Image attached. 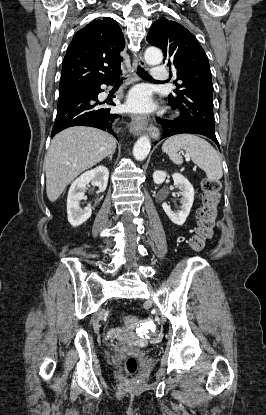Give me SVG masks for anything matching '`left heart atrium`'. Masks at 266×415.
Here are the masks:
<instances>
[{
	"mask_svg": "<svg viewBox=\"0 0 266 415\" xmlns=\"http://www.w3.org/2000/svg\"><path fill=\"white\" fill-rule=\"evenodd\" d=\"M128 107L136 112H149L154 108L148 89L139 86L133 89L128 98Z\"/></svg>",
	"mask_w": 266,
	"mask_h": 415,
	"instance_id": "left-heart-atrium-1",
	"label": "left heart atrium"
}]
</instances>
